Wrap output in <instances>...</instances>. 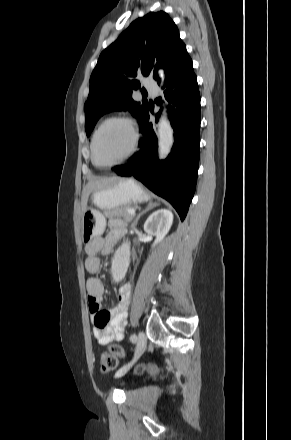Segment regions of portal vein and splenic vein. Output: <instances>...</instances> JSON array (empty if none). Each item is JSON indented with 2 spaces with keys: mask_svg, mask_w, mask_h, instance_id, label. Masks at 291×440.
Listing matches in <instances>:
<instances>
[{
  "mask_svg": "<svg viewBox=\"0 0 291 440\" xmlns=\"http://www.w3.org/2000/svg\"><path fill=\"white\" fill-rule=\"evenodd\" d=\"M127 212H128L130 215H135V210H134V209L128 208V209H127Z\"/></svg>",
  "mask_w": 291,
  "mask_h": 440,
  "instance_id": "18ae733b",
  "label": "portal vein and splenic vein"
}]
</instances>
